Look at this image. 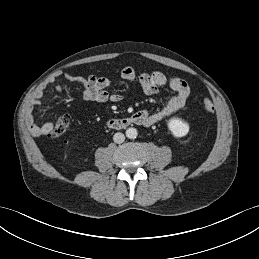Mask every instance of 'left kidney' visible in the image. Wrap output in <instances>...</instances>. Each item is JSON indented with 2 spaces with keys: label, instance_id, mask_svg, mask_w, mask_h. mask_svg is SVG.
Returning a JSON list of instances; mask_svg holds the SVG:
<instances>
[{
  "label": "left kidney",
  "instance_id": "5707ae66",
  "mask_svg": "<svg viewBox=\"0 0 259 259\" xmlns=\"http://www.w3.org/2000/svg\"><path fill=\"white\" fill-rule=\"evenodd\" d=\"M168 129L174 137L181 138L188 134L189 124L178 118H172L168 122Z\"/></svg>",
  "mask_w": 259,
  "mask_h": 259
}]
</instances>
